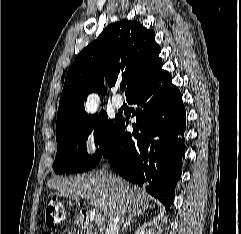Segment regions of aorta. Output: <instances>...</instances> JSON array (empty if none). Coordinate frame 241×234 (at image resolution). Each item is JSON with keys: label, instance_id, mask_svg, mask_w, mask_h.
I'll list each match as a JSON object with an SVG mask.
<instances>
[{"label": "aorta", "instance_id": "762f6f07", "mask_svg": "<svg viewBox=\"0 0 241 234\" xmlns=\"http://www.w3.org/2000/svg\"><path fill=\"white\" fill-rule=\"evenodd\" d=\"M86 109L89 112H92V111L95 110V101H94V97L93 96L89 97V99H88V101L86 103Z\"/></svg>", "mask_w": 241, "mask_h": 234}]
</instances>
